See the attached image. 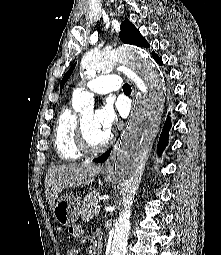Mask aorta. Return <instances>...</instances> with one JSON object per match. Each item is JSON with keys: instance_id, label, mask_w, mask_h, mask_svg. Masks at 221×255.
<instances>
[{"instance_id": "obj_1", "label": "aorta", "mask_w": 221, "mask_h": 255, "mask_svg": "<svg viewBox=\"0 0 221 255\" xmlns=\"http://www.w3.org/2000/svg\"><path fill=\"white\" fill-rule=\"evenodd\" d=\"M126 66L136 81L140 95L129 131L124 135L115 163L116 184L122 197L123 208L118 221L110 231L108 255H125L130 233L131 206L141 182L144 164L156 136L162 107L163 92L152 59L136 47H122L111 54L88 53L82 59L87 79L97 71ZM94 98L84 88L74 90L72 106L75 111L91 109Z\"/></svg>"}]
</instances>
